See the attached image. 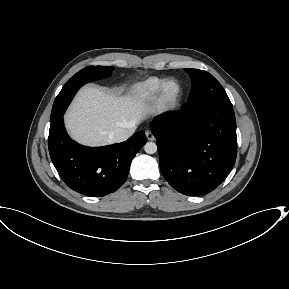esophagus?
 Instances as JSON below:
<instances>
[{
	"instance_id": "34e87169",
	"label": "esophagus",
	"mask_w": 289,
	"mask_h": 289,
	"mask_svg": "<svg viewBox=\"0 0 289 289\" xmlns=\"http://www.w3.org/2000/svg\"><path fill=\"white\" fill-rule=\"evenodd\" d=\"M145 135H146L147 139L150 140V141H153L155 139L154 134L151 131H149V130H147L145 132Z\"/></svg>"
}]
</instances>
